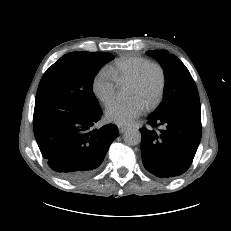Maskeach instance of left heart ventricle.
Wrapping results in <instances>:
<instances>
[{
    "label": "left heart ventricle",
    "mask_w": 231,
    "mask_h": 231,
    "mask_svg": "<svg viewBox=\"0 0 231 231\" xmlns=\"http://www.w3.org/2000/svg\"><path fill=\"white\" fill-rule=\"evenodd\" d=\"M160 85V73L157 68H150L142 82L138 87H129L128 96L130 99L137 98L141 100L145 106L156 96Z\"/></svg>",
    "instance_id": "left-heart-ventricle-1"
}]
</instances>
